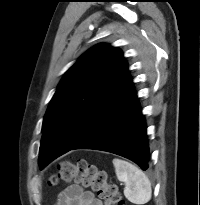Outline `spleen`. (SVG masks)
I'll return each mask as SVG.
<instances>
[{"mask_svg": "<svg viewBox=\"0 0 200 205\" xmlns=\"http://www.w3.org/2000/svg\"><path fill=\"white\" fill-rule=\"evenodd\" d=\"M119 181L125 183L124 195L133 204H146L151 199V183L137 166L118 158L113 159Z\"/></svg>", "mask_w": 200, "mask_h": 205, "instance_id": "spleen-1", "label": "spleen"}]
</instances>
